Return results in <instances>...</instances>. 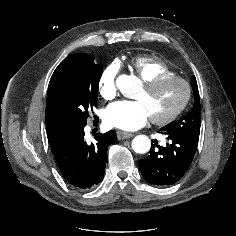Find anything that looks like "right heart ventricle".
Listing matches in <instances>:
<instances>
[{"label":"right heart ventricle","mask_w":236,"mask_h":236,"mask_svg":"<svg viewBox=\"0 0 236 236\" xmlns=\"http://www.w3.org/2000/svg\"><path fill=\"white\" fill-rule=\"evenodd\" d=\"M132 69L142 82L150 81L163 75H174V71L160 58L139 56L132 60Z\"/></svg>","instance_id":"1"}]
</instances>
